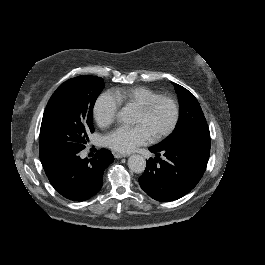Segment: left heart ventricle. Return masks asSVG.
Returning <instances> with one entry per match:
<instances>
[{"mask_svg":"<svg viewBox=\"0 0 265 265\" xmlns=\"http://www.w3.org/2000/svg\"><path fill=\"white\" fill-rule=\"evenodd\" d=\"M172 115V107L166 102H159L147 115L136 112L134 124L144 125L153 137L170 123Z\"/></svg>","mask_w":265,"mask_h":265,"instance_id":"1","label":"left heart ventricle"}]
</instances>
